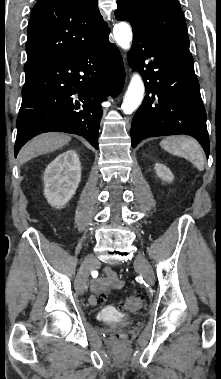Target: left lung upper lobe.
Wrapping results in <instances>:
<instances>
[{"mask_svg":"<svg viewBox=\"0 0 221 379\" xmlns=\"http://www.w3.org/2000/svg\"><path fill=\"white\" fill-rule=\"evenodd\" d=\"M115 16L153 40L189 52L186 23L177 0H117Z\"/></svg>","mask_w":221,"mask_h":379,"instance_id":"5c2ea615","label":"left lung upper lobe"}]
</instances>
